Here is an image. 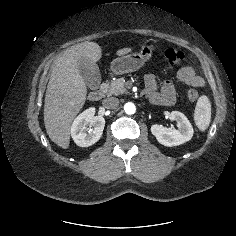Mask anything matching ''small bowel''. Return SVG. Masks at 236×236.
I'll return each mask as SVG.
<instances>
[{
  "label": "small bowel",
  "mask_w": 236,
  "mask_h": 236,
  "mask_svg": "<svg viewBox=\"0 0 236 236\" xmlns=\"http://www.w3.org/2000/svg\"><path fill=\"white\" fill-rule=\"evenodd\" d=\"M178 78L181 82L193 87H202L204 84L203 79L189 66L180 68ZM144 81L146 94L152 103L164 106L174 104L176 91L170 82L164 81L159 83L153 74H147Z\"/></svg>",
  "instance_id": "small-bowel-1"
}]
</instances>
